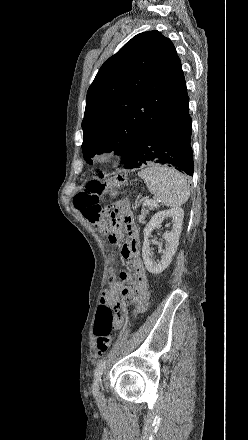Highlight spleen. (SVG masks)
Listing matches in <instances>:
<instances>
[{
    "label": "spleen",
    "mask_w": 248,
    "mask_h": 440,
    "mask_svg": "<svg viewBox=\"0 0 248 440\" xmlns=\"http://www.w3.org/2000/svg\"><path fill=\"white\" fill-rule=\"evenodd\" d=\"M138 176L144 180L156 200L170 207L186 203L190 190L183 175L177 170L161 165H151L141 170Z\"/></svg>",
    "instance_id": "1"
}]
</instances>
